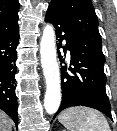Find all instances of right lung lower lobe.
I'll list each match as a JSON object with an SVG mask.
<instances>
[{"label": "right lung lower lobe", "mask_w": 117, "mask_h": 131, "mask_svg": "<svg viewBox=\"0 0 117 131\" xmlns=\"http://www.w3.org/2000/svg\"><path fill=\"white\" fill-rule=\"evenodd\" d=\"M19 30L0 39V109L18 125L17 98L15 95L16 47Z\"/></svg>", "instance_id": "right-lung-lower-lobe-1"}]
</instances>
